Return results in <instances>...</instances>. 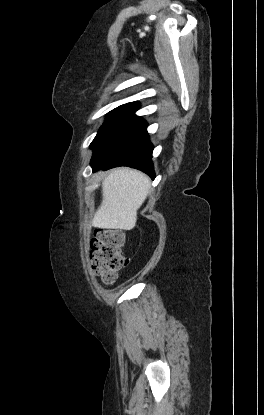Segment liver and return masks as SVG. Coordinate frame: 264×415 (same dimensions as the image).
Instances as JSON below:
<instances>
[{
	"label": "liver",
	"instance_id": "liver-1",
	"mask_svg": "<svg viewBox=\"0 0 264 415\" xmlns=\"http://www.w3.org/2000/svg\"><path fill=\"white\" fill-rule=\"evenodd\" d=\"M150 179L127 167L111 171L102 185V203L92 225L101 229L131 230L137 222V210L149 192Z\"/></svg>",
	"mask_w": 264,
	"mask_h": 415
}]
</instances>
